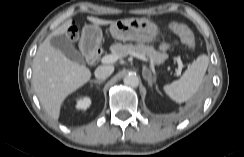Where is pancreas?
I'll return each instance as SVG.
<instances>
[{
	"label": "pancreas",
	"mask_w": 244,
	"mask_h": 157,
	"mask_svg": "<svg viewBox=\"0 0 244 157\" xmlns=\"http://www.w3.org/2000/svg\"><path fill=\"white\" fill-rule=\"evenodd\" d=\"M111 52L117 55L118 58H123L129 55L131 52H135L149 57L150 61L154 64L162 63L167 55L156 51L153 47L145 45H133V44H121L116 43L110 47Z\"/></svg>",
	"instance_id": "1"
}]
</instances>
